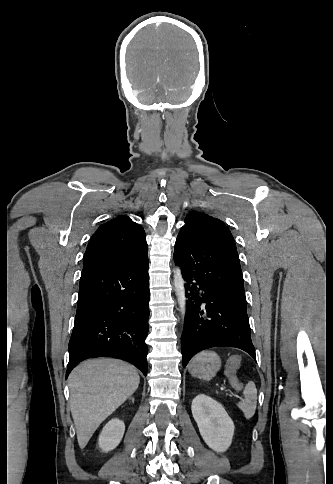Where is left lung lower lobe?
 <instances>
[{"mask_svg":"<svg viewBox=\"0 0 333 484\" xmlns=\"http://www.w3.org/2000/svg\"><path fill=\"white\" fill-rule=\"evenodd\" d=\"M174 260L186 281L182 365L212 347H236L255 360L243 276L233 236L219 220L189 219L175 243Z\"/></svg>","mask_w":333,"mask_h":484,"instance_id":"0a47b994","label":"left lung lower lobe"}]
</instances>
